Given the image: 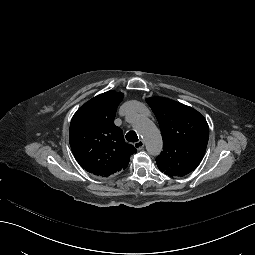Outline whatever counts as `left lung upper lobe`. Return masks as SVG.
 <instances>
[{
	"mask_svg": "<svg viewBox=\"0 0 255 255\" xmlns=\"http://www.w3.org/2000/svg\"><path fill=\"white\" fill-rule=\"evenodd\" d=\"M146 102L154 112L163 137V151L156 158L160 171L182 177L201 162L208 143L209 127L195 109L167 98Z\"/></svg>",
	"mask_w": 255,
	"mask_h": 255,
	"instance_id": "5c2ea615",
	"label": "left lung upper lobe"
}]
</instances>
